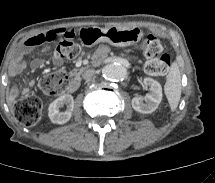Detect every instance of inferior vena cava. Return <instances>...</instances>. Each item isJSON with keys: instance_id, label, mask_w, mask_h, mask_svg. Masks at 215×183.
<instances>
[{"instance_id": "602c4592", "label": "inferior vena cava", "mask_w": 215, "mask_h": 183, "mask_svg": "<svg viewBox=\"0 0 215 183\" xmlns=\"http://www.w3.org/2000/svg\"><path fill=\"white\" fill-rule=\"evenodd\" d=\"M95 75H96V71L94 69H88L82 74V77L85 80H90L94 78Z\"/></svg>"}]
</instances>
